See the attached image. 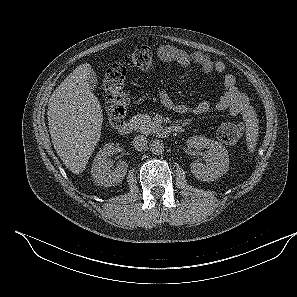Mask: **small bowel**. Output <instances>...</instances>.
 Wrapping results in <instances>:
<instances>
[{
  "mask_svg": "<svg viewBox=\"0 0 297 297\" xmlns=\"http://www.w3.org/2000/svg\"><path fill=\"white\" fill-rule=\"evenodd\" d=\"M157 56L162 61L174 62L181 67L196 65L205 73L224 74V93L217 102L205 100L194 106H187L175 103L165 90H160L159 100L165 108L179 114L191 115H203L213 111H226L231 115H241L248 109L247 96L237 88L234 76L225 73L226 65L222 61H214L202 52L188 53L169 45L159 46Z\"/></svg>",
  "mask_w": 297,
  "mask_h": 297,
  "instance_id": "obj_1",
  "label": "small bowel"
}]
</instances>
